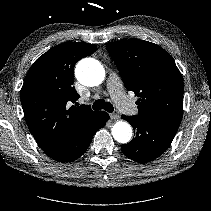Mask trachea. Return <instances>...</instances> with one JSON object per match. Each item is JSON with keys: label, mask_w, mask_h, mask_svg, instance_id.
Here are the masks:
<instances>
[{"label": "trachea", "mask_w": 211, "mask_h": 211, "mask_svg": "<svg viewBox=\"0 0 211 211\" xmlns=\"http://www.w3.org/2000/svg\"><path fill=\"white\" fill-rule=\"evenodd\" d=\"M92 108L94 110H101V109H104L105 111L109 112V113H112L114 111V107L113 105L108 102V101H105L103 99H98L96 100L93 105H92Z\"/></svg>", "instance_id": "1"}]
</instances>
